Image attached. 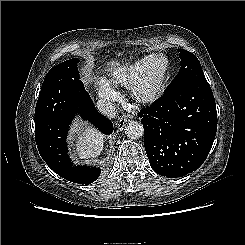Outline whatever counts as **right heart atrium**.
<instances>
[{
	"label": "right heart atrium",
	"mask_w": 245,
	"mask_h": 245,
	"mask_svg": "<svg viewBox=\"0 0 245 245\" xmlns=\"http://www.w3.org/2000/svg\"><path fill=\"white\" fill-rule=\"evenodd\" d=\"M98 91L99 96L103 99H115L117 96L115 90L104 81H100Z\"/></svg>",
	"instance_id": "1"
}]
</instances>
